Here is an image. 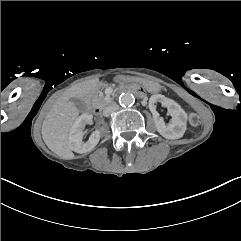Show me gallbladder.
Masks as SVG:
<instances>
[{
    "mask_svg": "<svg viewBox=\"0 0 241 241\" xmlns=\"http://www.w3.org/2000/svg\"><path fill=\"white\" fill-rule=\"evenodd\" d=\"M71 101L74 102V104L78 108H80V109H84L85 108V103L81 99L72 98Z\"/></svg>",
    "mask_w": 241,
    "mask_h": 241,
    "instance_id": "bac80fb5",
    "label": "gallbladder"
}]
</instances>
